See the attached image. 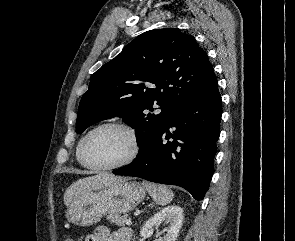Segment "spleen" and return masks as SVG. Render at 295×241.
I'll list each match as a JSON object with an SVG mask.
<instances>
[{
  "label": "spleen",
  "instance_id": "3e777b00",
  "mask_svg": "<svg viewBox=\"0 0 295 241\" xmlns=\"http://www.w3.org/2000/svg\"><path fill=\"white\" fill-rule=\"evenodd\" d=\"M142 185L153 198V200L159 205H166L173 200L174 193L167 186L154 184L147 181H143Z\"/></svg>",
  "mask_w": 295,
  "mask_h": 241
}]
</instances>
